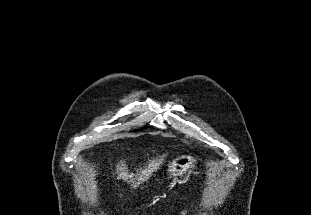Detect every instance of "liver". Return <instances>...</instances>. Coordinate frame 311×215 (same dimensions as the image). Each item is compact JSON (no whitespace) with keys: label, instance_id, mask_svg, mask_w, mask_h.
I'll return each instance as SVG.
<instances>
[{"label":"liver","instance_id":"6515ba94","mask_svg":"<svg viewBox=\"0 0 311 215\" xmlns=\"http://www.w3.org/2000/svg\"><path fill=\"white\" fill-rule=\"evenodd\" d=\"M166 156L167 154H163L160 157L149 160L147 166H145L144 169L141 168L136 174L132 172L129 173L125 161H121V163L117 165V178L118 180L122 179L125 182H128L133 188H137L140 184L147 181L152 174L160 168Z\"/></svg>","mask_w":311,"mask_h":215}]
</instances>
